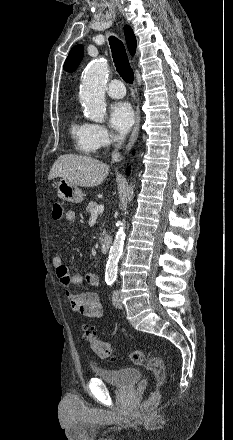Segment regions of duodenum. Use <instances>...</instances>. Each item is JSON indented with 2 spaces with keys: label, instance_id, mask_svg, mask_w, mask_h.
<instances>
[{
  "label": "duodenum",
  "instance_id": "duodenum-1",
  "mask_svg": "<svg viewBox=\"0 0 233 440\" xmlns=\"http://www.w3.org/2000/svg\"><path fill=\"white\" fill-rule=\"evenodd\" d=\"M112 238L110 236L102 237L99 240L100 248L103 252H107L110 249Z\"/></svg>",
  "mask_w": 233,
  "mask_h": 440
}]
</instances>
